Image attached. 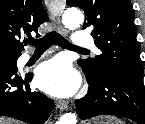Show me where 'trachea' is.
<instances>
[{
    "label": "trachea",
    "instance_id": "trachea-1",
    "mask_svg": "<svg viewBox=\"0 0 145 124\" xmlns=\"http://www.w3.org/2000/svg\"><path fill=\"white\" fill-rule=\"evenodd\" d=\"M26 42L31 46L35 47V51H46L53 44L58 45L61 48L72 49V50H82L87 51V49L79 48L72 45L68 40L55 31L47 33L40 39H27Z\"/></svg>",
    "mask_w": 145,
    "mask_h": 124
}]
</instances>
